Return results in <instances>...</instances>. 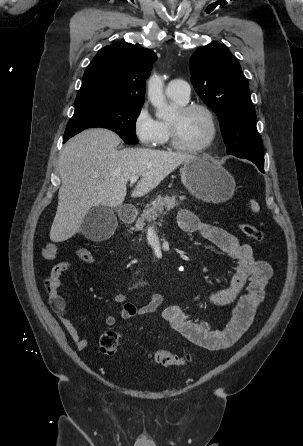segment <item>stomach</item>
<instances>
[{
  "label": "stomach",
  "instance_id": "obj_1",
  "mask_svg": "<svg viewBox=\"0 0 303 446\" xmlns=\"http://www.w3.org/2000/svg\"><path fill=\"white\" fill-rule=\"evenodd\" d=\"M181 181L193 196L212 203L230 200L236 187L234 178L226 169L199 157L184 163Z\"/></svg>",
  "mask_w": 303,
  "mask_h": 446
}]
</instances>
